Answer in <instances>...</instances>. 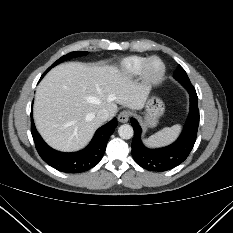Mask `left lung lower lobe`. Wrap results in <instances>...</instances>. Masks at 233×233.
Here are the masks:
<instances>
[{
	"label": "left lung lower lobe",
	"mask_w": 233,
	"mask_h": 233,
	"mask_svg": "<svg viewBox=\"0 0 233 233\" xmlns=\"http://www.w3.org/2000/svg\"><path fill=\"white\" fill-rule=\"evenodd\" d=\"M185 88L190 95V111L181 135L173 144L159 149H148L141 141L138 122L134 118L130 120L134 129L131 152L133 159L142 168L150 171L170 170L181 164L191 152L199 125L198 98L192 85Z\"/></svg>",
	"instance_id": "left-lung-lower-lobe-1"
}]
</instances>
